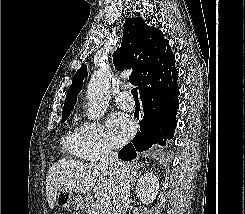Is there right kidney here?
I'll return each mask as SVG.
<instances>
[{"instance_id": "right-kidney-1", "label": "right kidney", "mask_w": 245, "mask_h": 214, "mask_svg": "<svg viewBox=\"0 0 245 214\" xmlns=\"http://www.w3.org/2000/svg\"><path fill=\"white\" fill-rule=\"evenodd\" d=\"M158 189V177L153 173H145L138 180L136 194L144 204H150L156 198Z\"/></svg>"}]
</instances>
